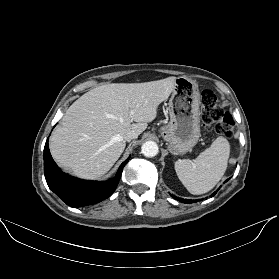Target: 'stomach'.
<instances>
[{
	"mask_svg": "<svg viewBox=\"0 0 279 279\" xmlns=\"http://www.w3.org/2000/svg\"><path fill=\"white\" fill-rule=\"evenodd\" d=\"M199 105L198 84L185 77L176 78L168 103L170 122L160 128V134L173 154H184L197 144L200 137Z\"/></svg>",
	"mask_w": 279,
	"mask_h": 279,
	"instance_id": "obj_1",
	"label": "stomach"
}]
</instances>
